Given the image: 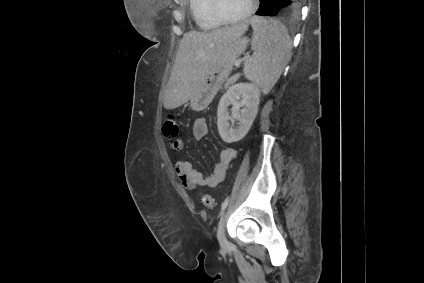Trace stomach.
Wrapping results in <instances>:
<instances>
[{"label": "stomach", "instance_id": "obj_1", "mask_svg": "<svg viewBox=\"0 0 424 283\" xmlns=\"http://www.w3.org/2000/svg\"><path fill=\"white\" fill-rule=\"evenodd\" d=\"M248 42L247 37H239L225 46L221 57L190 99L192 109L201 111L212 101L223 82L230 75L234 62L245 51Z\"/></svg>", "mask_w": 424, "mask_h": 283}]
</instances>
